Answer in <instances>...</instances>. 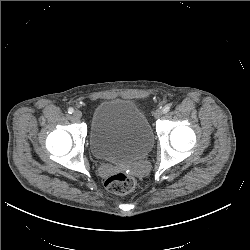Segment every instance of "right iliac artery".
I'll use <instances>...</instances> for the list:
<instances>
[{"label": "right iliac artery", "mask_w": 250, "mask_h": 250, "mask_svg": "<svg viewBox=\"0 0 250 250\" xmlns=\"http://www.w3.org/2000/svg\"><path fill=\"white\" fill-rule=\"evenodd\" d=\"M74 112V109L72 107L68 108V113L72 114Z\"/></svg>", "instance_id": "82829eb1"}]
</instances>
